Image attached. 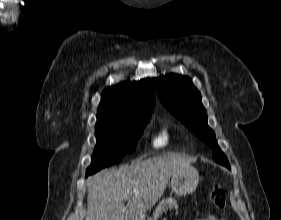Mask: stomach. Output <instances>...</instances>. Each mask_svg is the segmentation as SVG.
I'll list each match as a JSON object with an SVG mask.
<instances>
[{
  "label": "stomach",
  "instance_id": "obj_1",
  "mask_svg": "<svg viewBox=\"0 0 281 220\" xmlns=\"http://www.w3.org/2000/svg\"><path fill=\"white\" fill-rule=\"evenodd\" d=\"M199 183V173L196 168L188 167L173 173L171 188L177 195H187L195 191Z\"/></svg>",
  "mask_w": 281,
  "mask_h": 220
}]
</instances>
